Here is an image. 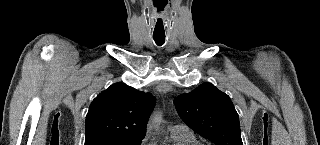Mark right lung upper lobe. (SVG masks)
I'll use <instances>...</instances> for the list:
<instances>
[{
  "label": "right lung upper lobe",
  "mask_w": 320,
  "mask_h": 145,
  "mask_svg": "<svg viewBox=\"0 0 320 145\" xmlns=\"http://www.w3.org/2000/svg\"><path fill=\"white\" fill-rule=\"evenodd\" d=\"M155 102V97L150 93L138 91L124 83L111 85L89 107L85 144L103 139H143Z\"/></svg>",
  "instance_id": "right-lung-upper-lobe-1"
}]
</instances>
